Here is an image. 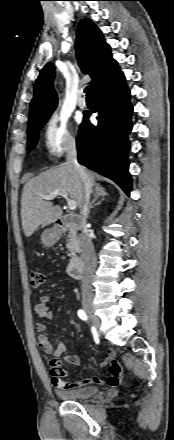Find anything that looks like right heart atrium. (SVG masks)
Returning <instances> with one entry per match:
<instances>
[{"label":"right heart atrium","instance_id":"obj_1","mask_svg":"<svg viewBox=\"0 0 174 440\" xmlns=\"http://www.w3.org/2000/svg\"><path fill=\"white\" fill-rule=\"evenodd\" d=\"M42 139L44 151L50 160L60 157L76 144L67 120L58 114H52L45 122Z\"/></svg>","mask_w":174,"mask_h":440}]
</instances>
